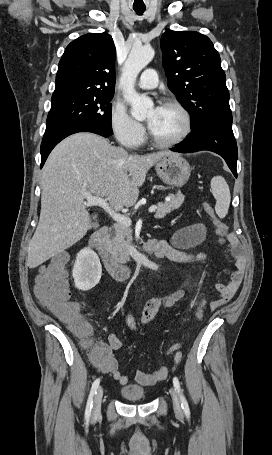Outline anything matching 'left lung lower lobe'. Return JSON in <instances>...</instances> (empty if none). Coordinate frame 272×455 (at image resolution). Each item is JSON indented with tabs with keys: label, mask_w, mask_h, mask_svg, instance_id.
Segmentation results:
<instances>
[{
	"label": "left lung lower lobe",
	"mask_w": 272,
	"mask_h": 455,
	"mask_svg": "<svg viewBox=\"0 0 272 455\" xmlns=\"http://www.w3.org/2000/svg\"><path fill=\"white\" fill-rule=\"evenodd\" d=\"M192 132L172 151L180 153L208 150L222 156L237 177V144L232 131V115L217 116L191 128Z\"/></svg>",
	"instance_id": "left-lung-lower-lobe-1"
}]
</instances>
